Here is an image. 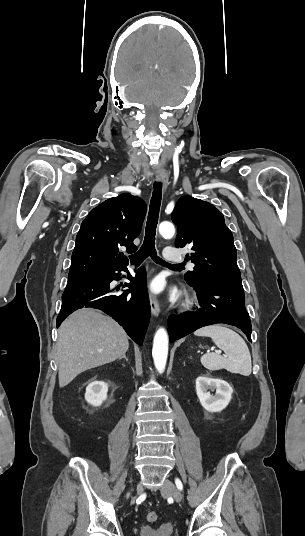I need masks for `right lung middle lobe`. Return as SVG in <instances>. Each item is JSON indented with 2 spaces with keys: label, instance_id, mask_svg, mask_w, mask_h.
<instances>
[{
  "label": "right lung middle lobe",
  "instance_id": "dd1d6c3e",
  "mask_svg": "<svg viewBox=\"0 0 305 536\" xmlns=\"http://www.w3.org/2000/svg\"><path fill=\"white\" fill-rule=\"evenodd\" d=\"M94 275H100V273L94 274Z\"/></svg>",
  "mask_w": 305,
  "mask_h": 536
}]
</instances>
